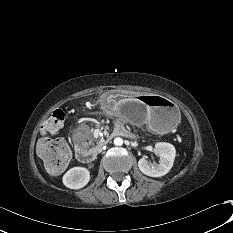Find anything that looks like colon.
I'll list each match as a JSON object with an SVG mask.
<instances>
[{"mask_svg":"<svg viewBox=\"0 0 233 233\" xmlns=\"http://www.w3.org/2000/svg\"><path fill=\"white\" fill-rule=\"evenodd\" d=\"M65 119L62 110H55L42 124V132L52 135L60 131ZM37 153L44 163L48 173L58 174L69 164L71 152L68 144L63 139L45 137L37 145Z\"/></svg>","mask_w":233,"mask_h":233,"instance_id":"5ec220e1","label":"colon"}]
</instances>
